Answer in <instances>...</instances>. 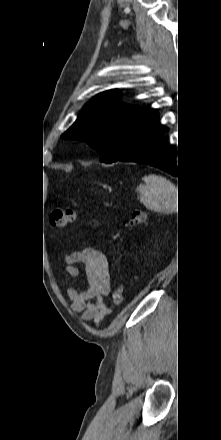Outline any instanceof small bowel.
I'll list each match as a JSON object with an SVG mask.
<instances>
[{
	"mask_svg": "<svg viewBox=\"0 0 221 440\" xmlns=\"http://www.w3.org/2000/svg\"><path fill=\"white\" fill-rule=\"evenodd\" d=\"M65 262L69 275L78 280L84 275L86 280L84 289L75 287L67 290L71 309L80 312L84 320L98 324L110 313L105 301L111 290L107 256L95 248H86L66 255ZM75 263H81L83 270L74 266Z\"/></svg>",
	"mask_w": 221,
	"mask_h": 440,
	"instance_id": "c3829d8e",
	"label": "small bowel"
}]
</instances>
